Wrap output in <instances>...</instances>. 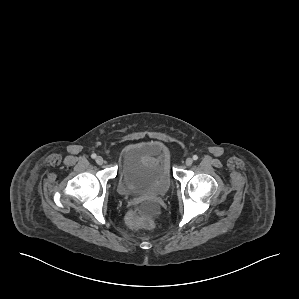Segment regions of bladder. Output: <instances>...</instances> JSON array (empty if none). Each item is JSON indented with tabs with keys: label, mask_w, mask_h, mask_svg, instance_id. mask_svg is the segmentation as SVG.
Here are the masks:
<instances>
[{
	"label": "bladder",
	"mask_w": 299,
	"mask_h": 299,
	"mask_svg": "<svg viewBox=\"0 0 299 299\" xmlns=\"http://www.w3.org/2000/svg\"><path fill=\"white\" fill-rule=\"evenodd\" d=\"M170 187L169 165L161 143L144 141L128 146L118 176L122 195L163 196Z\"/></svg>",
	"instance_id": "1"
}]
</instances>
